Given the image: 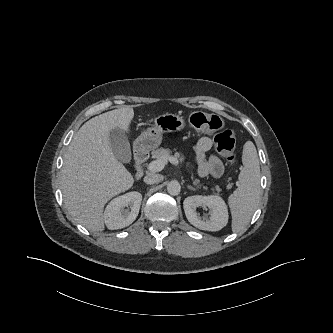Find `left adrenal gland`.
I'll use <instances>...</instances> for the list:
<instances>
[{
    "instance_id": "1",
    "label": "left adrenal gland",
    "mask_w": 333,
    "mask_h": 333,
    "mask_svg": "<svg viewBox=\"0 0 333 333\" xmlns=\"http://www.w3.org/2000/svg\"><path fill=\"white\" fill-rule=\"evenodd\" d=\"M188 189L195 191L196 189L193 188L192 186H187Z\"/></svg>"
}]
</instances>
